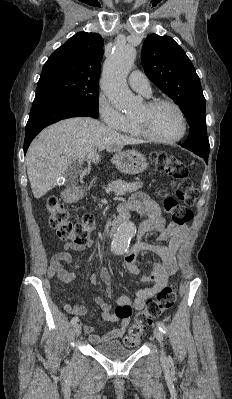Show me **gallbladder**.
I'll return each instance as SVG.
<instances>
[{"label": "gallbladder", "mask_w": 232, "mask_h": 399, "mask_svg": "<svg viewBox=\"0 0 232 399\" xmlns=\"http://www.w3.org/2000/svg\"><path fill=\"white\" fill-rule=\"evenodd\" d=\"M71 168L75 170V172H73V170H67L64 176L63 186H68V188H75V186H78L77 176L79 175V172L83 173L84 169L81 168L80 163H73L71 165Z\"/></svg>", "instance_id": "bac80fb5"}]
</instances>
